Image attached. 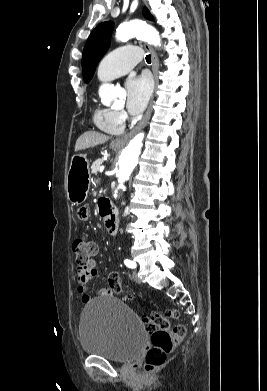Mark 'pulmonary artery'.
<instances>
[{"instance_id": "e3ab8cb5", "label": "pulmonary artery", "mask_w": 267, "mask_h": 391, "mask_svg": "<svg viewBox=\"0 0 267 391\" xmlns=\"http://www.w3.org/2000/svg\"><path fill=\"white\" fill-rule=\"evenodd\" d=\"M142 59L141 49L126 45L108 53L97 70L99 82H107L128 73Z\"/></svg>"}]
</instances>
